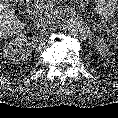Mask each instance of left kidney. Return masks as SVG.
Masks as SVG:
<instances>
[{"mask_svg": "<svg viewBox=\"0 0 118 118\" xmlns=\"http://www.w3.org/2000/svg\"><path fill=\"white\" fill-rule=\"evenodd\" d=\"M95 44H96V48L99 54H101L102 56H105L106 53L108 52V47L105 41L103 39L98 38Z\"/></svg>", "mask_w": 118, "mask_h": 118, "instance_id": "obj_1", "label": "left kidney"}]
</instances>
